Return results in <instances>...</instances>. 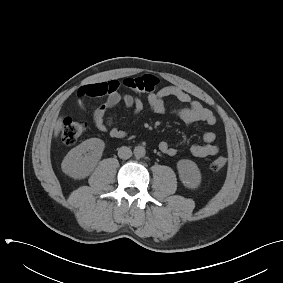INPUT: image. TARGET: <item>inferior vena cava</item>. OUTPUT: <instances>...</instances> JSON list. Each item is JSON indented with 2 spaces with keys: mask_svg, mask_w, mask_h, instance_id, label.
<instances>
[{
  "mask_svg": "<svg viewBox=\"0 0 283 283\" xmlns=\"http://www.w3.org/2000/svg\"><path fill=\"white\" fill-rule=\"evenodd\" d=\"M118 156L121 159H128L132 156V151L129 147L122 146L118 150Z\"/></svg>",
  "mask_w": 283,
  "mask_h": 283,
  "instance_id": "1",
  "label": "inferior vena cava"
}]
</instances>
